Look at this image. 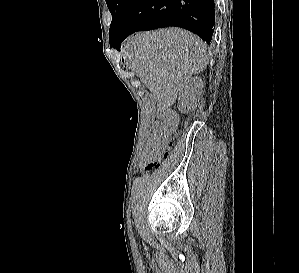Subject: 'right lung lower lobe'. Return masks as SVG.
<instances>
[{
	"label": "right lung lower lobe",
	"instance_id": "obj_1",
	"mask_svg": "<svg viewBox=\"0 0 299 273\" xmlns=\"http://www.w3.org/2000/svg\"><path fill=\"white\" fill-rule=\"evenodd\" d=\"M177 26L210 43L215 26V0H134L111 47L140 30Z\"/></svg>",
	"mask_w": 299,
	"mask_h": 273
}]
</instances>
